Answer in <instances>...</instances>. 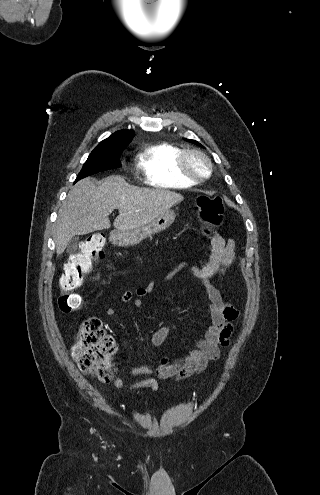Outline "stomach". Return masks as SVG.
Instances as JSON below:
<instances>
[{
  "label": "stomach",
  "mask_w": 320,
  "mask_h": 495,
  "mask_svg": "<svg viewBox=\"0 0 320 495\" xmlns=\"http://www.w3.org/2000/svg\"><path fill=\"white\" fill-rule=\"evenodd\" d=\"M175 220V212L167 210L151 222L130 230L113 231L110 234V241L117 246H134L142 240L154 234L160 233L168 228Z\"/></svg>",
  "instance_id": "obj_1"
}]
</instances>
